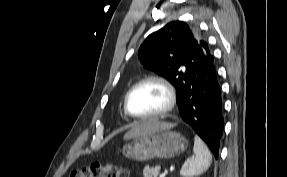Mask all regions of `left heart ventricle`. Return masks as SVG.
I'll return each instance as SVG.
<instances>
[{"label":"left heart ventricle","mask_w":287,"mask_h":177,"mask_svg":"<svg viewBox=\"0 0 287 177\" xmlns=\"http://www.w3.org/2000/svg\"><path fill=\"white\" fill-rule=\"evenodd\" d=\"M167 103L165 90L156 83L138 87L130 98V110L136 115H148L160 111Z\"/></svg>","instance_id":"left-heart-ventricle-1"}]
</instances>
